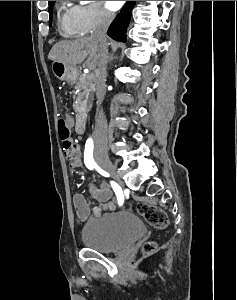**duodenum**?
Listing matches in <instances>:
<instances>
[{
  "mask_svg": "<svg viewBox=\"0 0 237 300\" xmlns=\"http://www.w3.org/2000/svg\"><path fill=\"white\" fill-rule=\"evenodd\" d=\"M75 130L78 134H84L87 130V117L80 113L76 118Z\"/></svg>",
  "mask_w": 237,
  "mask_h": 300,
  "instance_id": "duodenum-1",
  "label": "duodenum"
}]
</instances>
